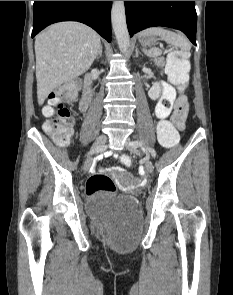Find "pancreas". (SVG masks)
<instances>
[{
    "mask_svg": "<svg viewBox=\"0 0 233 295\" xmlns=\"http://www.w3.org/2000/svg\"><path fill=\"white\" fill-rule=\"evenodd\" d=\"M154 62H155V65L159 68L165 65V59L163 57L156 58Z\"/></svg>",
    "mask_w": 233,
    "mask_h": 295,
    "instance_id": "cf45deb5",
    "label": "pancreas"
}]
</instances>
